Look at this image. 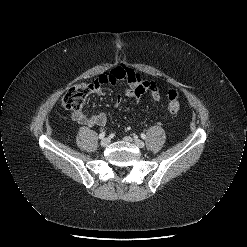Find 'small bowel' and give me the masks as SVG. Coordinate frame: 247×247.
Here are the masks:
<instances>
[{
	"label": "small bowel",
	"instance_id": "c3829d8e",
	"mask_svg": "<svg viewBox=\"0 0 247 247\" xmlns=\"http://www.w3.org/2000/svg\"><path fill=\"white\" fill-rule=\"evenodd\" d=\"M118 83L124 85L126 96L135 101H138L145 92H149L156 101L160 99V91L155 82L143 80L139 73L126 66H118L101 74L95 81V92L99 95H105V85H116ZM72 118L77 123L89 127L104 126L108 121L107 115L103 112L91 116L81 112L74 113Z\"/></svg>",
	"mask_w": 247,
	"mask_h": 247
}]
</instances>
